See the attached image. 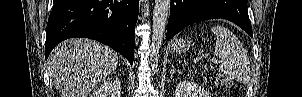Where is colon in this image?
I'll use <instances>...</instances> for the list:
<instances>
[{"label":"colon","mask_w":302,"mask_h":97,"mask_svg":"<svg viewBox=\"0 0 302 97\" xmlns=\"http://www.w3.org/2000/svg\"><path fill=\"white\" fill-rule=\"evenodd\" d=\"M203 78L209 84H230V82L228 80L223 79V77L214 68L206 69L203 73Z\"/></svg>","instance_id":"colon-1"}]
</instances>
